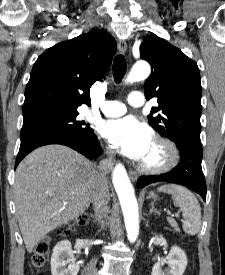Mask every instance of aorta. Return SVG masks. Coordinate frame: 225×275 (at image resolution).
I'll return each instance as SVG.
<instances>
[{"label":"aorta","mask_w":225,"mask_h":275,"mask_svg":"<svg viewBox=\"0 0 225 275\" xmlns=\"http://www.w3.org/2000/svg\"><path fill=\"white\" fill-rule=\"evenodd\" d=\"M150 71L148 63L143 61L138 62L132 67L126 78V82L133 83L144 80L150 75ZM112 182L121 204L127 237L130 242H135L139 234L138 204L134 188L125 167L121 163L116 164L113 169Z\"/></svg>","instance_id":"aorta-1"}]
</instances>
